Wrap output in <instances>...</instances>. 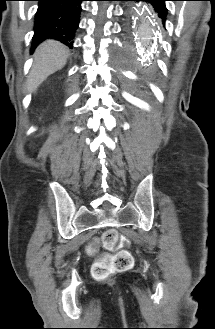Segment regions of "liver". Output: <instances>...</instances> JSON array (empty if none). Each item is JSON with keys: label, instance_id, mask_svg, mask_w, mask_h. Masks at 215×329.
<instances>
[{"label": "liver", "instance_id": "6515ba94", "mask_svg": "<svg viewBox=\"0 0 215 329\" xmlns=\"http://www.w3.org/2000/svg\"><path fill=\"white\" fill-rule=\"evenodd\" d=\"M68 53V48L58 41L47 40L40 44L35 51L34 63L27 79L28 92H35L49 75L62 69Z\"/></svg>", "mask_w": 215, "mask_h": 329}]
</instances>
